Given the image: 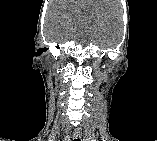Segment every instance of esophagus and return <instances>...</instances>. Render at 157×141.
I'll return each instance as SVG.
<instances>
[{
  "instance_id": "1",
  "label": "esophagus",
  "mask_w": 157,
  "mask_h": 141,
  "mask_svg": "<svg viewBox=\"0 0 157 141\" xmlns=\"http://www.w3.org/2000/svg\"><path fill=\"white\" fill-rule=\"evenodd\" d=\"M73 137L75 139L80 138L81 137V130L80 129H76L73 133Z\"/></svg>"
}]
</instances>
